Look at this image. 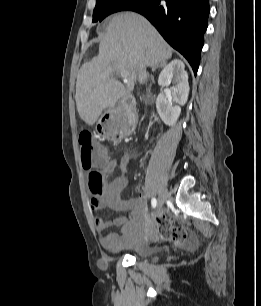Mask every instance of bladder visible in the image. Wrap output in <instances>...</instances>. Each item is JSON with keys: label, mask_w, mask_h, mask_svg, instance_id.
<instances>
[{"label": "bladder", "mask_w": 261, "mask_h": 306, "mask_svg": "<svg viewBox=\"0 0 261 306\" xmlns=\"http://www.w3.org/2000/svg\"><path fill=\"white\" fill-rule=\"evenodd\" d=\"M134 257L139 260L155 262V251L145 242L138 243L135 249Z\"/></svg>", "instance_id": "1"}]
</instances>
